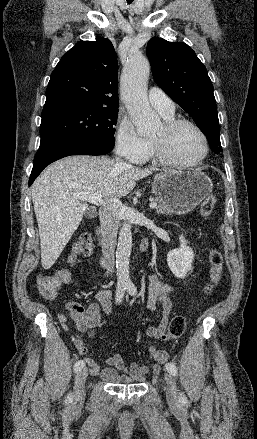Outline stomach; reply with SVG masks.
<instances>
[{
    "instance_id": "1",
    "label": "stomach",
    "mask_w": 257,
    "mask_h": 439,
    "mask_svg": "<svg viewBox=\"0 0 257 439\" xmlns=\"http://www.w3.org/2000/svg\"><path fill=\"white\" fill-rule=\"evenodd\" d=\"M213 189L211 179L197 170L170 171L157 175L153 193L170 206L173 213L184 215L193 211Z\"/></svg>"
}]
</instances>
